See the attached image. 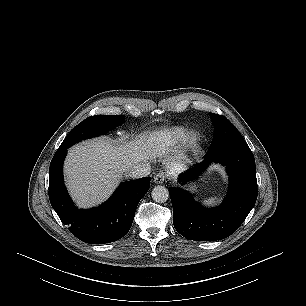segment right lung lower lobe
<instances>
[{"mask_svg": "<svg viewBox=\"0 0 306 306\" xmlns=\"http://www.w3.org/2000/svg\"><path fill=\"white\" fill-rule=\"evenodd\" d=\"M67 149L59 150L49 168V199L70 232L83 242L104 244L119 240L129 231L139 201L150 187V177L122 183L112 197L96 208L78 209L63 182Z\"/></svg>", "mask_w": 306, "mask_h": 306, "instance_id": "obj_1", "label": "right lung lower lobe"}]
</instances>
